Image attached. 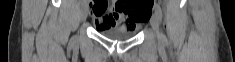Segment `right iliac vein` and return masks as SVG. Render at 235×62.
<instances>
[{
	"mask_svg": "<svg viewBox=\"0 0 235 62\" xmlns=\"http://www.w3.org/2000/svg\"><path fill=\"white\" fill-rule=\"evenodd\" d=\"M87 16H88V8H87V6L83 5L82 9H81V18H82V20L83 21L86 20Z\"/></svg>",
	"mask_w": 235,
	"mask_h": 62,
	"instance_id": "1",
	"label": "right iliac vein"
}]
</instances>
